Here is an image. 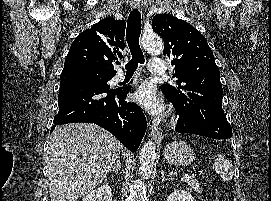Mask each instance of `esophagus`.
Returning a JSON list of instances; mask_svg holds the SVG:
<instances>
[{"instance_id":"1","label":"esophagus","mask_w":271,"mask_h":201,"mask_svg":"<svg viewBox=\"0 0 271 201\" xmlns=\"http://www.w3.org/2000/svg\"><path fill=\"white\" fill-rule=\"evenodd\" d=\"M132 7L137 8V9L140 10L141 9V3L139 2V0L136 3H132ZM150 135H151L152 139L155 140L156 142H160L162 140V138H163L161 130L156 126H151Z\"/></svg>"}]
</instances>
